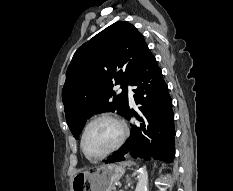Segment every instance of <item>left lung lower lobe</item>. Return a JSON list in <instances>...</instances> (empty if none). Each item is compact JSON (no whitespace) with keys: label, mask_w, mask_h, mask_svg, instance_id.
<instances>
[{"label":"left lung lower lobe","mask_w":233,"mask_h":191,"mask_svg":"<svg viewBox=\"0 0 233 191\" xmlns=\"http://www.w3.org/2000/svg\"><path fill=\"white\" fill-rule=\"evenodd\" d=\"M129 85L136 87L133 92L139 114L128 107L124 117L135 116L138 121L132 125L128 141L106 163L124 160L123 155L129 151L134 158L149 160V156H155V159L171 163L175 155L172 99L152 53L145 58Z\"/></svg>","instance_id":"left-lung-lower-lobe-1"}]
</instances>
